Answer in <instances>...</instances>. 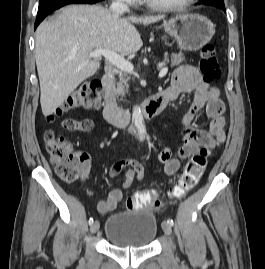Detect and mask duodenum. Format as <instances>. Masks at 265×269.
Here are the masks:
<instances>
[{
  "instance_id": "410a0bca",
  "label": "duodenum",
  "mask_w": 265,
  "mask_h": 269,
  "mask_svg": "<svg viewBox=\"0 0 265 269\" xmlns=\"http://www.w3.org/2000/svg\"><path fill=\"white\" fill-rule=\"evenodd\" d=\"M105 91V104L103 107L104 118L114 125L128 124L134 112L132 110L120 108L116 103L115 75L111 69H107L102 79ZM165 107L162 93L149 97L141 106L140 112L145 117L158 115Z\"/></svg>"
}]
</instances>
